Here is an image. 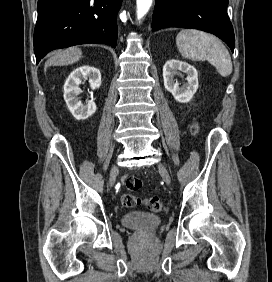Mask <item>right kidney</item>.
Returning a JSON list of instances; mask_svg holds the SVG:
<instances>
[{
	"mask_svg": "<svg viewBox=\"0 0 272 282\" xmlns=\"http://www.w3.org/2000/svg\"><path fill=\"white\" fill-rule=\"evenodd\" d=\"M89 80L92 90L99 89L101 86L100 71L88 65L74 69L64 83V100L73 117L77 120H85L92 116L96 111V104L90 100L84 106L77 96L81 90L79 84L82 79Z\"/></svg>",
	"mask_w": 272,
	"mask_h": 282,
	"instance_id": "obj_1",
	"label": "right kidney"
}]
</instances>
